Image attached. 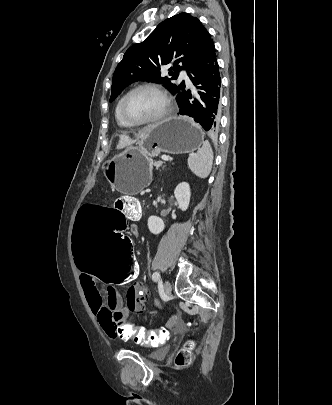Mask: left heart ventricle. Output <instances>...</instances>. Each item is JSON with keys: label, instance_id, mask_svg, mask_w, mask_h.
Wrapping results in <instances>:
<instances>
[{"label": "left heart ventricle", "instance_id": "left-heart-ventricle-1", "mask_svg": "<svg viewBox=\"0 0 332 405\" xmlns=\"http://www.w3.org/2000/svg\"><path fill=\"white\" fill-rule=\"evenodd\" d=\"M163 107L162 97L151 89H141L132 93L124 105L126 115L135 121L155 117L163 110Z\"/></svg>", "mask_w": 332, "mask_h": 405}]
</instances>
